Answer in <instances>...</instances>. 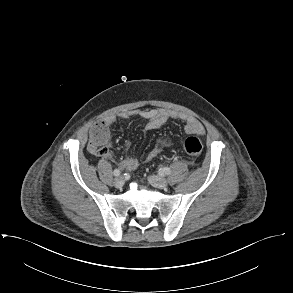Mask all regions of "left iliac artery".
<instances>
[{"instance_id": "left-iliac-artery-1", "label": "left iliac artery", "mask_w": 293, "mask_h": 293, "mask_svg": "<svg viewBox=\"0 0 293 293\" xmlns=\"http://www.w3.org/2000/svg\"><path fill=\"white\" fill-rule=\"evenodd\" d=\"M161 172L164 173V174H166V175H168V174L171 173V170H170V168H168V167H164V168L161 170Z\"/></svg>"}]
</instances>
